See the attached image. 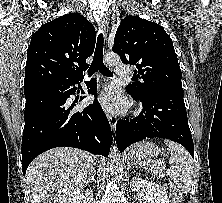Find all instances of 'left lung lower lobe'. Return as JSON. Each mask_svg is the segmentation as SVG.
I'll list each match as a JSON object with an SVG mask.
<instances>
[{"label": "left lung lower lobe", "mask_w": 222, "mask_h": 203, "mask_svg": "<svg viewBox=\"0 0 222 203\" xmlns=\"http://www.w3.org/2000/svg\"><path fill=\"white\" fill-rule=\"evenodd\" d=\"M138 100L143 105L140 115L117 121L116 144L119 151L143 139L160 137L183 145L194 158L183 92L161 89Z\"/></svg>", "instance_id": "0a47b994"}]
</instances>
